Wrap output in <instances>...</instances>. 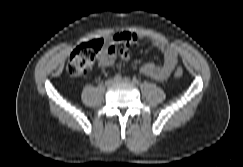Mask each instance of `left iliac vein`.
<instances>
[{"label": "left iliac vein", "mask_w": 243, "mask_h": 167, "mask_svg": "<svg viewBox=\"0 0 243 167\" xmlns=\"http://www.w3.org/2000/svg\"><path fill=\"white\" fill-rule=\"evenodd\" d=\"M116 83H130V80L128 78H124L121 80H117Z\"/></svg>", "instance_id": "left-iliac-vein-1"}]
</instances>
